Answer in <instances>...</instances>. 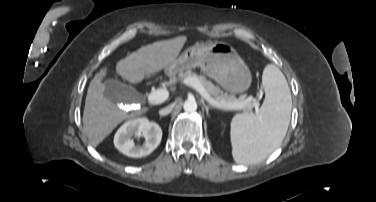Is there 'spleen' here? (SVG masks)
Wrapping results in <instances>:
<instances>
[{
	"instance_id": "1",
	"label": "spleen",
	"mask_w": 376,
	"mask_h": 202,
	"mask_svg": "<svg viewBox=\"0 0 376 202\" xmlns=\"http://www.w3.org/2000/svg\"><path fill=\"white\" fill-rule=\"evenodd\" d=\"M265 100L258 115L237 114L231 121L232 155L237 163L253 164L279 147L290 122L292 99L281 70L268 64L262 74Z\"/></svg>"
}]
</instances>
